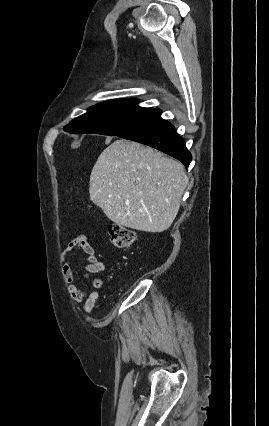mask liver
<instances>
[{
  "mask_svg": "<svg viewBox=\"0 0 269 426\" xmlns=\"http://www.w3.org/2000/svg\"><path fill=\"white\" fill-rule=\"evenodd\" d=\"M187 184L180 162L151 147L118 139L99 155L89 193L115 224L159 233L173 223Z\"/></svg>",
  "mask_w": 269,
  "mask_h": 426,
  "instance_id": "6515ba94",
  "label": "liver"
}]
</instances>
